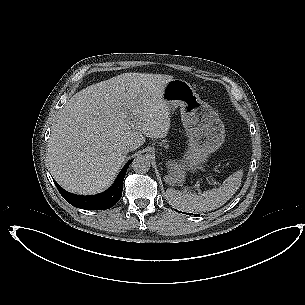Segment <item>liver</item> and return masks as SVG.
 <instances>
[{
	"mask_svg": "<svg viewBox=\"0 0 305 305\" xmlns=\"http://www.w3.org/2000/svg\"><path fill=\"white\" fill-rule=\"evenodd\" d=\"M157 78L153 88L113 77L70 98L53 125L47 151L50 171L64 189L83 195L103 191L125 161L124 145L137 149L145 137L167 135L171 121L159 101L173 77Z\"/></svg>",
	"mask_w": 305,
	"mask_h": 305,
	"instance_id": "obj_1",
	"label": "liver"
}]
</instances>
